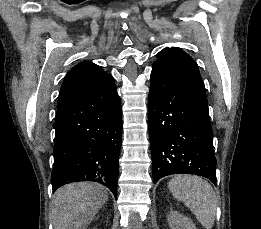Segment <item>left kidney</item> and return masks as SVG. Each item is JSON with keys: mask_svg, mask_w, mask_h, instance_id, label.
Segmentation results:
<instances>
[{"mask_svg": "<svg viewBox=\"0 0 261 229\" xmlns=\"http://www.w3.org/2000/svg\"><path fill=\"white\" fill-rule=\"evenodd\" d=\"M167 221L170 229H196L193 221L189 217H184L178 211H170Z\"/></svg>", "mask_w": 261, "mask_h": 229, "instance_id": "obj_1", "label": "left kidney"}]
</instances>
